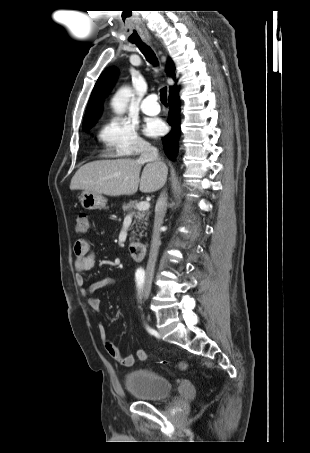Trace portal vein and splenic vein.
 <instances>
[{"label":"portal vein and splenic vein","mask_w":310,"mask_h":453,"mask_svg":"<svg viewBox=\"0 0 310 453\" xmlns=\"http://www.w3.org/2000/svg\"><path fill=\"white\" fill-rule=\"evenodd\" d=\"M139 211H146L150 208L149 202H140L136 207Z\"/></svg>","instance_id":"1"}]
</instances>
